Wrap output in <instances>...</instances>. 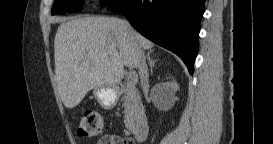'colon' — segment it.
<instances>
[{
  "label": "colon",
  "instance_id": "obj_1",
  "mask_svg": "<svg viewBox=\"0 0 273 144\" xmlns=\"http://www.w3.org/2000/svg\"><path fill=\"white\" fill-rule=\"evenodd\" d=\"M103 131V120L100 114L94 110H86L78 124L80 137L92 138L101 135Z\"/></svg>",
  "mask_w": 273,
  "mask_h": 144
}]
</instances>
